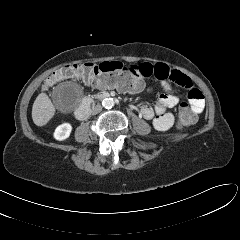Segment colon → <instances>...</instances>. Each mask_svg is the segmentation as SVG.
Wrapping results in <instances>:
<instances>
[{
	"label": "colon",
	"mask_w": 240,
	"mask_h": 240,
	"mask_svg": "<svg viewBox=\"0 0 240 240\" xmlns=\"http://www.w3.org/2000/svg\"><path fill=\"white\" fill-rule=\"evenodd\" d=\"M66 78H80L92 85L115 87L122 91H135L142 82L133 67L118 61L101 63L69 64L55 71L46 81L50 87ZM197 116L192 112L188 103H182L178 112V122L181 126L194 123Z\"/></svg>",
	"instance_id": "5ec220e1"
}]
</instances>
